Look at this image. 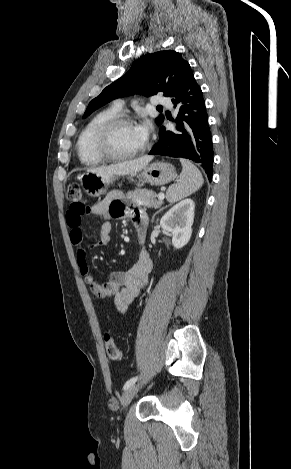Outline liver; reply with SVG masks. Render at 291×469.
I'll return each instance as SVG.
<instances>
[{"mask_svg":"<svg viewBox=\"0 0 291 469\" xmlns=\"http://www.w3.org/2000/svg\"><path fill=\"white\" fill-rule=\"evenodd\" d=\"M153 159V156L145 155L141 158L113 164L110 166H102L90 168L87 172L101 175H135L140 172Z\"/></svg>","mask_w":291,"mask_h":469,"instance_id":"liver-1","label":"liver"}]
</instances>
